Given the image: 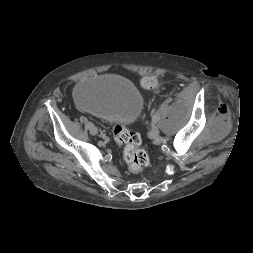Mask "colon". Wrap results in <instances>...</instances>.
Segmentation results:
<instances>
[{
    "mask_svg": "<svg viewBox=\"0 0 253 253\" xmlns=\"http://www.w3.org/2000/svg\"><path fill=\"white\" fill-rule=\"evenodd\" d=\"M142 84L146 88H152L156 86L157 81L154 78H145ZM113 134L116 142L122 146V155L130 171L141 172L148 165L149 157L140 147V135L122 124H116L113 127Z\"/></svg>",
    "mask_w": 253,
    "mask_h": 253,
    "instance_id": "1",
    "label": "colon"
}]
</instances>
